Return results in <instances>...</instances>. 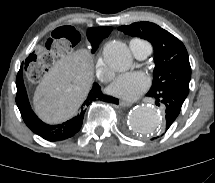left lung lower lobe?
<instances>
[{
    "label": "left lung lower lobe",
    "mask_w": 215,
    "mask_h": 183,
    "mask_svg": "<svg viewBox=\"0 0 215 183\" xmlns=\"http://www.w3.org/2000/svg\"><path fill=\"white\" fill-rule=\"evenodd\" d=\"M147 96L156 99V105L162 106L166 113V130L171 126L181 111L187 97L175 88H163L156 92H148Z\"/></svg>",
    "instance_id": "0a47b994"
}]
</instances>
